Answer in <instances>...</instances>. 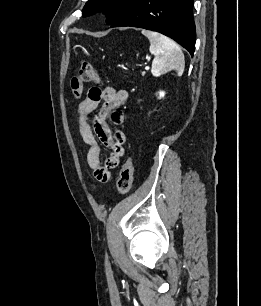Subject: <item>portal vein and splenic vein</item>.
<instances>
[{
  "instance_id": "portal-vein-and-splenic-vein-1",
  "label": "portal vein and splenic vein",
  "mask_w": 261,
  "mask_h": 306,
  "mask_svg": "<svg viewBox=\"0 0 261 306\" xmlns=\"http://www.w3.org/2000/svg\"><path fill=\"white\" fill-rule=\"evenodd\" d=\"M150 69V67L147 65V66H145V70H149Z\"/></svg>"
}]
</instances>
